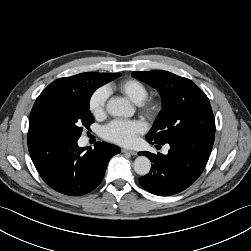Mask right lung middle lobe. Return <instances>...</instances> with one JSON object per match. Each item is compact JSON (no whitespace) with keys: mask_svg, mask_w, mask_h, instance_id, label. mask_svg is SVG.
<instances>
[{"mask_svg":"<svg viewBox=\"0 0 251 251\" xmlns=\"http://www.w3.org/2000/svg\"><path fill=\"white\" fill-rule=\"evenodd\" d=\"M120 73H83L74 89L43 91L35 101L29 131L58 138L79 139L83 129L90 130L94 117L89 111L93 92L118 78Z\"/></svg>","mask_w":251,"mask_h":251,"instance_id":"dd1d6c3e","label":"right lung middle lobe"}]
</instances>
